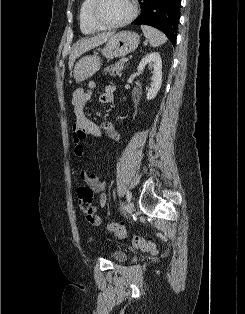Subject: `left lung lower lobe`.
<instances>
[{
    "instance_id": "obj_1",
    "label": "left lung lower lobe",
    "mask_w": 245,
    "mask_h": 314,
    "mask_svg": "<svg viewBox=\"0 0 245 314\" xmlns=\"http://www.w3.org/2000/svg\"><path fill=\"white\" fill-rule=\"evenodd\" d=\"M141 14L133 24H143L162 30L175 45L180 18L181 0H138Z\"/></svg>"
}]
</instances>
